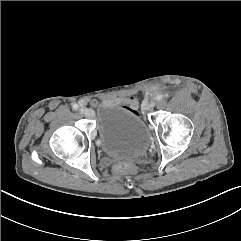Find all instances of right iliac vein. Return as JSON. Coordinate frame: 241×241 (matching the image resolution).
I'll list each match as a JSON object with an SVG mask.
<instances>
[{
	"label": "right iliac vein",
	"instance_id": "1",
	"mask_svg": "<svg viewBox=\"0 0 241 241\" xmlns=\"http://www.w3.org/2000/svg\"><path fill=\"white\" fill-rule=\"evenodd\" d=\"M80 113H81V114H84V115L87 116V117L90 116V114H91V113H90V110L84 109V108H81V109H80Z\"/></svg>",
	"mask_w": 241,
	"mask_h": 241
}]
</instances>
